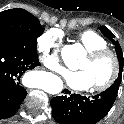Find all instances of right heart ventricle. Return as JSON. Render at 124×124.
<instances>
[{"mask_svg":"<svg viewBox=\"0 0 124 124\" xmlns=\"http://www.w3.org/2000/svg\"><path fill=\"white\" fill-rule=\"evenodd\" d=\"M77 42L86 50L107 47V41L93 30H85L77 36Z\"/></svg>","mask_w":124,"mask_h":124,"instance_id":"e07e8e85","label":"right heart ventricle"}]
</instances>
